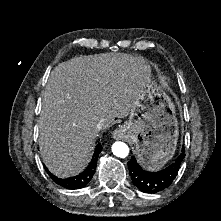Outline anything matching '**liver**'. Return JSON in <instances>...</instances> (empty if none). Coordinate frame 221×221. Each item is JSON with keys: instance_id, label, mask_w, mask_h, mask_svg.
Here are the masks:
<instances>
[{"instance_id": "6515ba94", "label": "liver", "mask_w": 221, "mask_h": 221, "mask_svg": "<svg viewBox=\"0 0 221 221\" xmlns=\"http://www.w3.org/2000/svg\"><path fill=\"white\" fill-rule=\"evenodd\" d=\"M149 65L141 56L103 53L58 64L42 97L39 148L47 168L67 178L89 163L99 121L110 127L127 117L145 86Z\"/></svg>"}]
</instances>
